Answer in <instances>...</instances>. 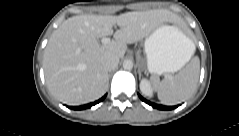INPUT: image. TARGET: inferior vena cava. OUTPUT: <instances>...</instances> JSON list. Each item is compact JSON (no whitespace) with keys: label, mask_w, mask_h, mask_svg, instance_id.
Segmentation results:
<instances>
[{"label":"inferior vena cava","mask_w":239,"mask_h":136,"mask_svg":"<svg viewBox=\"0 0 239 136\" xmlns=\"http://www.w3.org/2000/svg\"><path fill=\"white\" fill-rule=\"evenodd\" d=\"M102 64L107 71H112L118 66L119 59L117 57H106L102 60Z\"/></svg>","instance_id":"602c4592"}]
</instances>
